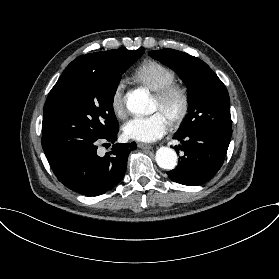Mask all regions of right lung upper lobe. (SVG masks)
<instances>
[{
	"label": "right lung upper lobe",
	"instance_id": "obj_1",
	"mask_svg": "<svg viewBox=\"0 0 279 279\" xmlns=\"http://www.w3.org/2000/svg\"><path fill=\"white\" fill-rule=\"evenodd\" d=\"M123 52L124 50L114 49L82 55L72 61L67 68H88L94 71L105 70Z\"/></svg>",
	"mask_w": 279,
	"mask_h": 279
}]
</instances>
